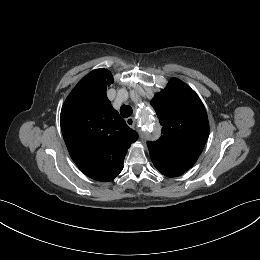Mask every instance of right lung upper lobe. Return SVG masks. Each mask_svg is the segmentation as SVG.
<instances>
[{
    "label": "right lung upper lobe",
    "mask_w": 260,
    "mask_h": 260,
    "mask_svg": "<svg viewBox=\"0 0 260 260\" xmlns=\"http://www.w3.org/2000/svg\"><path fill=\"white\" fill-rule=\"evenodd\" d=\"M113 82L108 70H93L71 91L60 115L72 160L86 176L104 182L122 171L127 149L138 139L107 98Z\"/></svg>",
    "instance_id": "cb5924a9"
}]
</instances>
